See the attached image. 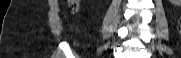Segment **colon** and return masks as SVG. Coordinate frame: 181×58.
<instances>
[{
    "instance_id": "1",
    "label": "colon",
    "mask_w": 181,
    "mask_h": 58,
    "mask_svg": "<svg viewBox=\"0 0 181 58\" xmlns=\"http://www.w3.org/2000/svg\"><path fill=\"white\" fill-rule=\"evenodd\" d=\"M69 6H70L71 10L76 11L78 9V2L76 0H71V1H69ZM178 29L181 34V18L178 23Z\"/></svg>"
}]
</instances>
